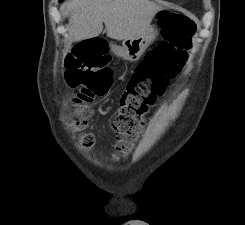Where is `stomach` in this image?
Listing matches in <instances>:
<instances>
[{
  "mask_svg": "<svg viewBox=\"0 0 245 225\" xmlns=\"http://www.w3.org/2000/svg\"><path fill=\"white\" fill-rule=\"evenodd\" d=\"M156 36L157 30L155 26L150 25L141 35L124 40L122 46L112 45V50L124 60L134 62L139 60Z\"/></svg>",
  "mask_w": 245,
  "mask_h": 225,
  "instance_id": "1",
  "label": "stomach"
}]
</instances>
